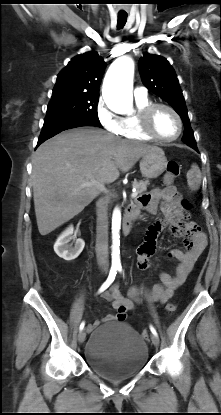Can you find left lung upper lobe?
<instances>
[{
  "label": "left lung upper lobe",
  "mask_w": 221,
  "mask_h": 415,
  "mask_svg": "<svg viewBox=\"0 0 221 415\" xmlns=\"http://www.w3.org/2000/svg\"><path fill=\"white\" fill-rule=\"evenodd\" d=\"M139 71L145 87L165 100L181 117L185 126L182 141L188 146L196 145L182 90L169 62L164 57L146 54L139 59Z\"/></svg>",
  "instance_id": "left-lung-upper-lobe-1"
}]
</instances>
